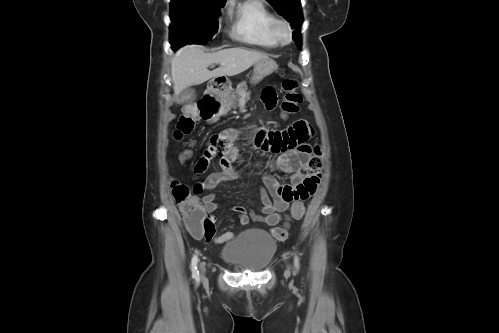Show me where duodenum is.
Instances as JSON below:
<instances>
[{
	"label": "duodenum",
	"instance_id": "duodenum-1",
	"mask_svg": "<svg viewBox=\"0 0 499 333\" xmlns=\"http://www.w3.org/2000/svg\"><path fill=\"white\" fill-rule=\"evenodd\" d=\"M221 82L220 81H214L210 84V87L208 89V94L210 96H215L216 90L220 87ZM215 113L214 108L212 107L209 111V116H212Z\"/></svg>",
	"mask_w": 499,
	"mask_h": 333
}]
</instances>
